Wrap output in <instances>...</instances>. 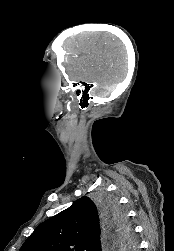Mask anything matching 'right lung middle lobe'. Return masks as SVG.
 <instances>
[{"label":"right lung middle lobe","mask_w":174,"mask_h":251,"mask_svg":"<svg viewBox=\"0 0 174 251\" xmlns=\"http://www.w3.org/2000/svg\"><path fill=\"white\" fill-rule=\"evenodd\" d=\"M93 201L100 209L104 221L112 228L113 237L121 241L123 250L133 251L136 248L133 230L128 221L126 211L118 201L106 192L94 195Z\"/></svg>","instance_id":"right-lung-middle-lobe-1"}]
</instances>
